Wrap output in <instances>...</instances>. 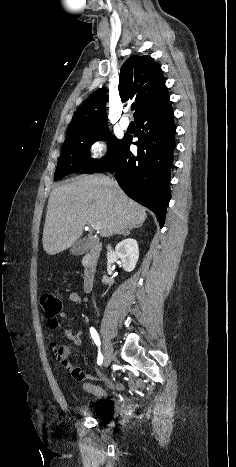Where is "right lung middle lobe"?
Here are the masks:
<instances>
[{
  "mask_svg": "<svg viewBox=\"0 0 236 467\" xmlns=\"http://www.w3.org/2000/svg\"><path fill=\"white\" fill-rule=\"evenodd\" d=\"M109 133L108 128H102L86 133L67 134L54 180L57 181L73 172L91 174L105 165L117 154L124 141V138L117 139ZM101 139L108 141V152L102 159H91L89 156L90 146Z\"/></svg>",
  "mask_w": 236,
  "mask_h": 467,
  "instance_id": "1",
  "label": "right lung middle lobe"
}]
</instances>
